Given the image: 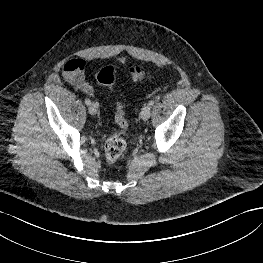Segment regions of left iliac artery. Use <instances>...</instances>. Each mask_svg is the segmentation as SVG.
<instances>
[{"label": "left iliac artery", "mask_w": 263, "mask_h": 263, "mask_svg": "<svg viewBox=\"0 0 263 263\" xmlns=\"http://www.w3.org/2000/svg\"><path fill=\"white\" fill-rule=\"evenodd\" d=\"M148 105L151 107L154 105V100L149 101Z\"/></svg>", "instance_id": "1"}]
</instances>
